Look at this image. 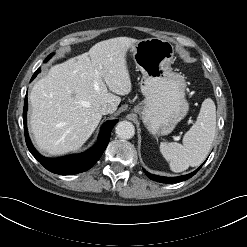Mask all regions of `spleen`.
I'll list each match as a JSON object with an SVG mask.
<instances>
[{"label":"spleen","instance_id":"spleen-1","mask_svg":"<svg viewBox=\"0 0 247 247\" xmlns=\"http://www.w3.org/2000/svg\"><path fill=\"white\" fill-rule=\"evenodd\" d=\"M216 107L212 99L203 101L196 122L183 137V144L177 142L160 144V152L174 172H182L189 166L200 165L208 155L215 138Z\"/></svg>","mask_w":247,"mask_h":247}]
</instances>
